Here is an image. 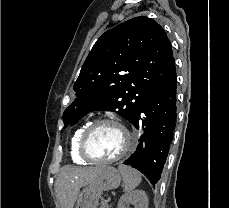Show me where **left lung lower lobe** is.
Returning <instances> with one entry per match:
<instances>
[{"label":"left lung lower lobe","mask_w":229,"mask_h":208,"mask_svg":"<svg viewBox=\"0 0 229 208\" xmlns=\"http://www.w3.org/2000/svg\"><path fill=\"white\" fill-rule=\"evenodd\" d=\"M176 94L175 76L168 85L147 96L131 121L136 129L143 130V134L136 151L123 164L142 172L153 185L160 180L173 139L177 118Z\"/></svg>","instance_id":"0a47b994"}]
</instances>
